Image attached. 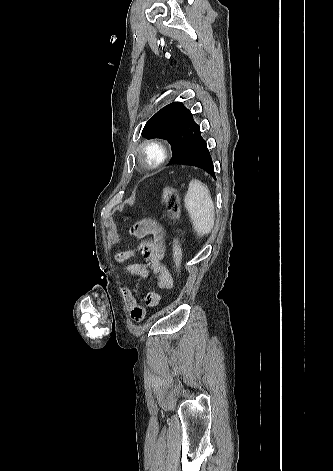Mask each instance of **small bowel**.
<instances>
[{
	"instance_id": "obj_1",
	"label": "small bowel",
	"mask_w": 333,
	"mask_h": 471,
	"mask_svg": "<svg viewBox=\"0 0 333 471\" xmlns=\"http://www.w3.org/2000/svg\"><path fill=\"white\" fill-rule=\"evenodd\" d=\"M132 234L141 240L139 247L120 252L116 255V261L123 263L129 260L135 255L137 250H141L144 256V264L132 263L125 267L126 273L138 278L136 286L133 289L128 287L120 288L121 297L130 318L133 321L140 322L146 315V307H155L162 299L160 293L149 291L144 297V303L139 304L135 294L138 292L140 284L152 273L157 279L159 289H171L173 287V278L164 264L165 245L162 228L155 221L145 219L134 225ZM147 236L152 238L143 240Z\"/></svg>"
}]
</instances>
